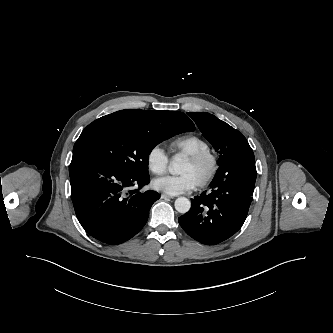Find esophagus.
<instances>
[{"label": "esophagus", "instance_id": "obj_1", "mask_svg": "<svg viewBox=\"0 0 333 333\" xmlns=\"http://www.w3.org/2000/svg\"><path fill=\"white\" fill-rule=\"evenodd\" d=\"M161 198L165 199V200H170L172 197L163 193V194H161Z\"/></svg>", "mask_w": 333, "mask_h": 333}]
</instances>
